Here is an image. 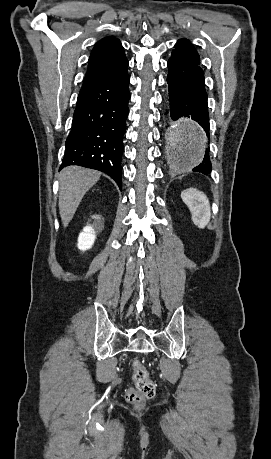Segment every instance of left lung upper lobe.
Instances as JSON below:
<instances>
[{
    "label": "left lung upper lobe",
    "mask_w": 271,
    "mask_h": 459,
    "mask_svg": "<svg viewBox=\"0 0 271 459\" xmlns=\"http://www.w3.org/2000/svg\"><path fill=\"white\" fill-rule=\"evenodd\" d=\"M170 59L182 60L192 64L200 65V57L196 49L185 38L180 39L174 46Z\"/></svg>",
    "instance_id": "1"
}]
</instances>
